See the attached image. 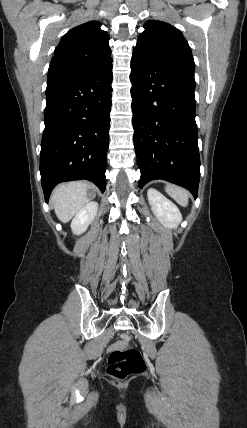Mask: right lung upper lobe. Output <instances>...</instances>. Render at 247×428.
Returning <instances> with one entry per match:
<instances>
[{"label":"right lung upper lobe","instance_id":"obj_1","mask_svg":"<svg viewBox=\"0 0 247 428\" xmlns=\"http://www.w3.org/2000/svg\"><path fill=\"white\" fill-rule=\"evenodd\" d=\"M90 21L74 27L61 39L48 70V82L84 74L111 58L109 35Z\"/></svg>","mask_w":247,"mask_h":428}]
</instances>
